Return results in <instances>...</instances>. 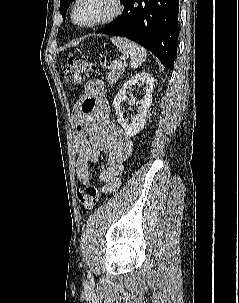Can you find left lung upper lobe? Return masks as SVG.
<instances>
[{"label": "left lung upper lobe", "instance_id": "1", "mask_svg": "<svg viewBox=\"0 0 239 303\" xmlns=\"http://www.w3.org/2000/svg\"><path fill=\"white\" fill-rule=\"evenodd\" d=\"M73 0H61L60 2V13L62 14L63 19L65 20L66 18V11L68 8V5L72 2ZM124 1V0H123Z\"/></svg>", "mask_w": 239, "mask_h": 303}]
</instances>
